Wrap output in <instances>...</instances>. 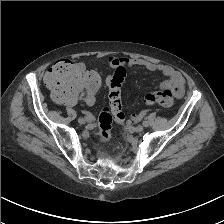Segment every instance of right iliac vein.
Instances as JSON below:
<instances>
[{
	"label": "right iliac vein",
	"mask_w": 224,
	"mask_h": 224,
	"mask_svg": "<svg viewBox=\"0 0 224 224\" xmlns=\"http://www.w3.org/2000/svg\"><path fill=\"white\" fill-rule=\"evenodd\" d=\"M79 124H85L86 123V119L81 117L78 119Z\"/></svg>",
	"instance_id": "1"
}]
</instances>
